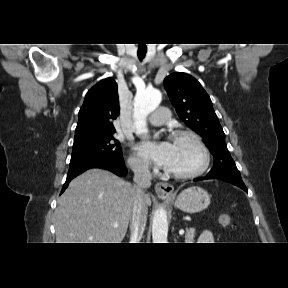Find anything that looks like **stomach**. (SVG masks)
<instances>
[{
  "mask_svg": "<svg viewBox=\"0 0 288 288\" xmlns=\"http://www.w3.org/2000/svg\"><path fill=\"white\" fill-rule=\"evenodd\" d=\"M171 199V197H165ZM210 204V196L201 187L192 186L183 190L175 199V206L186 213H197Z\"/></svg>",
  "mask_w": 288,
  "mask_h": 288,
  "instance_id": "stomach-1",
  "label": "stomach"
}]
</instances>
